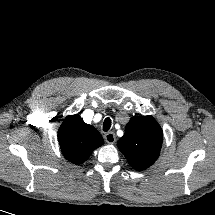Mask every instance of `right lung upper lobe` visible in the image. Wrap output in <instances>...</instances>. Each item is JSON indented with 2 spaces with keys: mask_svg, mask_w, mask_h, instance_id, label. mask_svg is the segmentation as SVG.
I'll return each instance as SVG.
<instances>
[{
  "mask_svg": "<svg viewBox=\"0 0 215 215\" xmlns=\"http://www.w3.org/2000/svg\"><path fill=\"white\" fill-rule=\"evenodd\" d=\"M58 141L64 157L74 164L86 161L103 144L100 133L78 114L64 119L58 130Z\"/></svg>",
  "mask_w": 215,
  "mask_h": 215,
  "instance_id": "right-lung-upper-lobe-1",
  "label": "right lung upper lobe"
}]
</instances>
